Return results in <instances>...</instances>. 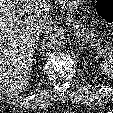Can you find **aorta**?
Masks as SVG:
<instances>
[{
  "mask_svg": "<svg viewBox=\"0 0 113 113\" xmlns=\"http://www.w3.org/2000/svg\"><path fill=\"white\" fill-rule=\"evenodd\" d=\"M65 43V35L61 32L52 33L46 39V47L54 51H59L64 47Z\"/></svg>",
  "mask_w": 113,
  "mask_h": 113,
  "instance_id": "1",
  "label": "aorta"
}]
</instances>
